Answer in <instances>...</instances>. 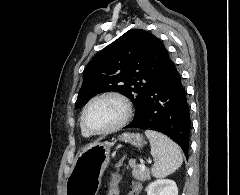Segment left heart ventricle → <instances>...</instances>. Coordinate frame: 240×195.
I'll list each match as a JSON object with an SVG mask.
<instances>
[{"instance_id": "left-heart-ventricle-1", "label": "left heart ventricle", "mask_w": 240, "mask_h": 195, "mask_svg": "<svg viewBox=\"0 0 240 195\" xmlns=\"http://www.w3.org/2000/svg\"><path fill=\"white\" fill-rule=\"evenodd\" d=\"M122 114L121 104L107 99L94 104L87 112L85 125L89 131L104 129L119 120Z\"/></svg>"}]
</instances>
